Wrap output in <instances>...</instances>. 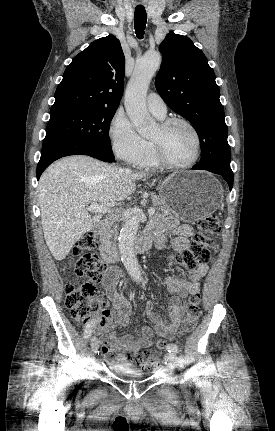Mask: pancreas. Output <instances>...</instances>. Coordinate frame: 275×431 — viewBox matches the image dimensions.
Instances as JSON below:
<instances>
[{
	"label": "pancreas",
	"mask_w": 275,
	"mask_h": 431,
	"mask_svg": "<svg viewBox=\"0 0 275 431\" xmlns=\"http://www.w3.org/2000/svg\"><path fill=\"white\" fill-rule=\"evenodd\" d=\"M151 198H152L153 207L156 210L161 211L162 214H164V215L169 214L170 208L161 198L157 197L154 194L151 195ZM157 215H161V213L158 212ZM103 238L110 239L111 238V232L107 231L106 233H104Z\"/></svg>",
	"instance_id": "cf45deb5"
}]
</instances>
